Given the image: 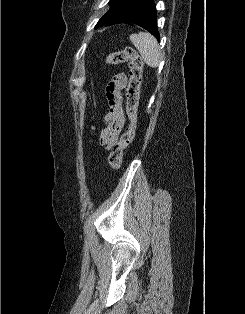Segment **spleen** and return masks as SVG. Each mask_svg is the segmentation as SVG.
<instances>
[{"mask_svg": "<svg viewBox=\"0 0 245 314\" xmlns=\"http://www.w3.org/2000/svg\"><path fill=\"white\" fill-rule=\"evenodd\" d=\"M129 38L144 62L152 68H157L160 63L161 53L155 37L150 33L139 32L138 34H131Z\"/></svg>", "mask_w": 245, "mask_h": 314, "instance_id": "obj_1", "label": "spleen"}]
</instances>
